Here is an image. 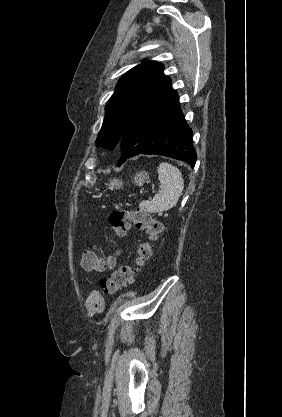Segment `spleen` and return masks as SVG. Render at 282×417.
<instances>
[{
  "label": "spleen",
  "instance_id": "spleen-1",
  "mask_svg": "<svg viewBox=\"0 0 282 417\" xmlns=\"http://www.w3.org/2000/svg\"><path fill=\"white\" fill-rule=\"evenodd\" d=\"M159 192L152 200H142L139 206L146 213H164L177 204L184 180L181 170L169 162H161L158 166Z\"/></svg>",
  "mask_w": 282,
  "mask_h": 417
}]
</instances>
